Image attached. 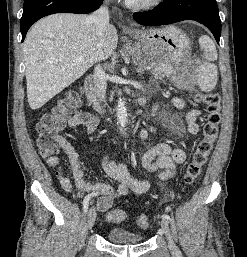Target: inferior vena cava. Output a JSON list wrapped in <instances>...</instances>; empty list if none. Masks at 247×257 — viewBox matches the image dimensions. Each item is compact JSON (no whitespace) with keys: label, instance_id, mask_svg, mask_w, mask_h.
Instances as JSON below:
<instances>
[{"label":"inferior vena cava","instance_id":"obj_1","mask_svg":"<svg viewBox=\"0 0 247 257\" xmlns=\"http://www.w3.org/2000/svg\"><path fill=\"white\" fill-rule=\"evenodd\" d=\"M88 20L94 23L97 34L101 36L102 33L105 31L106 27L109 25L107 0H105L104 4L98 10L94 11L89 16ZM94 79L95 93L100 101L105 102L108 76L102 70L100 64L96 65L94 69Z\"/></svg>","mask_w":247,"mask_h":257}]
</instances>
